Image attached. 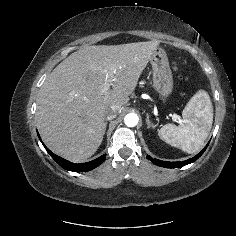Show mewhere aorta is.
<instances>
[{
    "instance_id": "obj_1",
    "label": "aorta",
    "mask_w": 236,
    "mask_h": 236,
    "mask_svg": "<svg viewBox=\"0 0 236 236\" xmlns=\"http://www.w3.org/2000/svg\"><path fill=\"white\" fill-rule=\"evenodd\" d=\"M139 118L135 113H129L124 118V123L128 127H135L138 124Z\"/></svg>"
}]
</instances>
